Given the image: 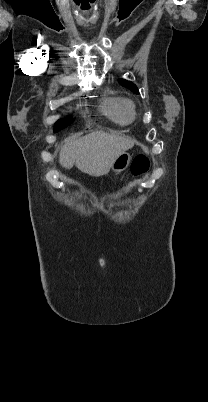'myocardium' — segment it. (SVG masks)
<instances>
[{"mask_svg": "<svg viewBox=\"0 0 208 402\" xmlns=\"http://www.w3.org/2000/svg\"><path fill=\"white\" fill-rule=\"evenodd\" d=\"M125 103H126V107L128 108V110L131 113L135 114V112H136L135 103L133 101H131V100H125Z\"/></svg>", "mask_w": 208, "mask_h": 402, "instance_id": "f54148a6", "label": "myocardium"}]
</instances>
